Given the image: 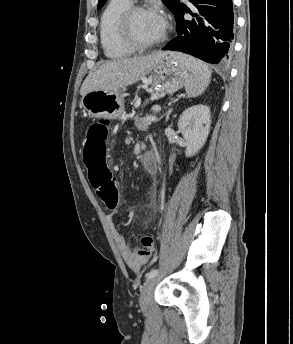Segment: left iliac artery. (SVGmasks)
I'll use <instances>...</instances> for the list:
<instances>
[{
  "instance_id": "left-iliac-artery-1",
  "label": "left iliac artery",
  "mask_w": 293,
  "mask_h": 344,
  "mask_svg": "<svg viewBox=\"0 0 293 344\" xmlns=\"http://www.w3.org/2000/svg\"><path fill=\"white\" fill-rule=\"evenodd\" d=\"M157 274H158V270L157 269L151 270L150 272L146 273V275H145L146 280H149V279L155 277Z\"/></svg>"
}]
</instances>
